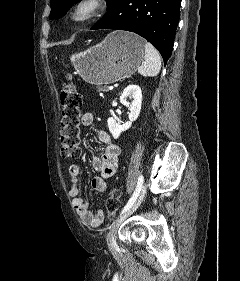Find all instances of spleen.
Wrapping results in <instances>:
<instances>
[{
	"mask_svg": "<svg viewBox=\"0 0 240 281\" xmlns=\"http://www.w3.org/2000/svg\"><path fill=\"white\" fill-rule=\"evenodd\" d=\"M144 62L138 67V72L145 77L158 75L161 69V57L157 49L149 42H145Z\"/></svg>",
	"mask_w": 240,
	"mask_h": 281,
	"instance_id": "3e777b00",
	"label": "spleen"
}]
</instances>
